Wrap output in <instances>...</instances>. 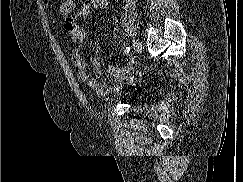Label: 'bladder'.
I'll return each mask as SVG.
<instances>
[{"label":"bladder","instance_id":"bladder-1","mask_svg":"<svg viewBox=\"0 0 243 182\" xmlns=\"http://www.w3.org/2000/svg\"><path fill=\"white\" fill-rule=\"evenodd\" d=\"M133 98H134V99H138V96H137V95H135V96H133Z\"/></svg>","mask_w":243,"mask_h":182}]
</instances>
